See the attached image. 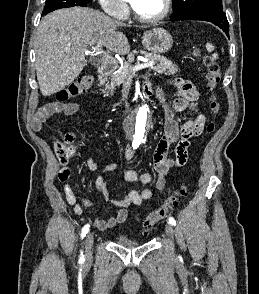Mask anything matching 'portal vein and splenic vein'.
I'll return each instance as SVG.
<instances>
[{
    "mask_svg": "<svg viewBox=\"0 0 259 294\" xmlns=\"http://www.w3.org/2000/svg\"><path fill=\"white\" fill-rule=\"evenodd\" d=\"M92 49L94 52L99 53L103 57L104 60L109 61V62H113V58L108 53L103 52L102 48L100 46L92 47ZM144 62L145 63H141V64L138 63L137 65L133 66L132 71L136 72L138 70H141V69H144L147 67H152L155 64L154 62L147 61V60H144Z\"/></svg>",
    "mask_w": 259,
    "mask_h": 294,
    "instance_id": "18ae733b",
    "label": "portal vein and splenic vein"
}]
</instances>
